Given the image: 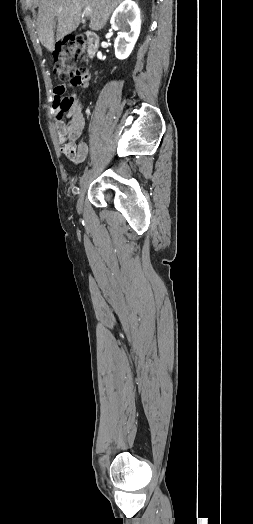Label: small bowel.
<instances>
[{"label": "small bowel", "mask_w": 253, "mask_h": 524, "mask_svg": "<svg viewBox=\"0 0 253 524\" xmlns=\"http://www.w3.org/2000/svg\"><path fill=\"white\" fill-rule=\"evenodd\" d=\"M61 89L64 91L62 92ZM65 89L63 85L55 88L53 104L63 95ZM84 109V103L79 99H74L68 115L71 123L66 125L63 121H59L55 126L61 153L76 165L83 163L88 154V144L86 142H76L85 130Z\"/></svg>", "instance_id": "c3829d8e"}]
</instances>
